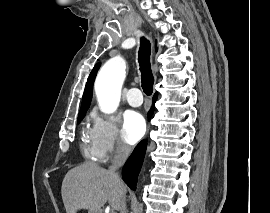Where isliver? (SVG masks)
<instances>
[{
	"label": "liver",
	"instance_id": "1",
	"mask_svg": "<svg viewBox=\"0 0 270 213\" xmlns=\"http://www.w3.org/2000/svg\"><path fill=\"white\" fill-rule=\"evenodd\" d=\"M126 190L120 178L97 164L87 162L67 172L61 194L66 213H77L81 209L101 212L106 202L113 210H120Z\"/></svg>",
	"mask_w": 270,
	"mask_h": 213
}]
</instances>
